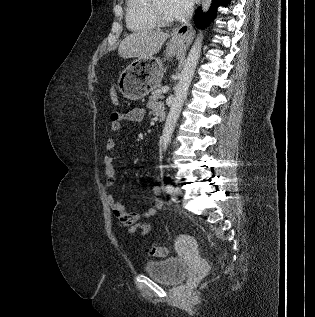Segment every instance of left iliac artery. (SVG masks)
<instances>
[{"label": "left iliac artery", "instance_id": "left-iliac-artery-1", "mask_svg": "<svg viewBox=\"0 0 315 317\" xmlns=\"http://www.w3.org/2000/svg\"><path fill=\"white\" fill-rule=\"evenodd\" d=\"M165 190L167 193H172L174 191V187L172 185H167Z\"/></svg>", "mask_w": 315, "mask_h": 317}]
</instances>
